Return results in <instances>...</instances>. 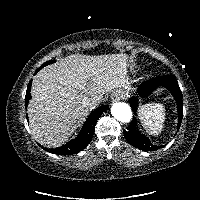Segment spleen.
Here are the masks:
<instances>
[{
    "label": "spleen",
    "instance_id": "spleen-1",
    "mask_svg": "<svg viewBox=\"0 0 200 200\" xmlns=\"http://www.w3.org/2000/svg\"><path fill=\"white\" fill-rule=\"evenodd\" d=\"M139 118L143 127L152 135L161 133L165 121V108L162 104L151 103L142 106Z\"/></svg>",
    "mask_w": 200,
    "mask_h": 200
}]
</instances>
